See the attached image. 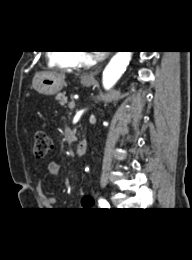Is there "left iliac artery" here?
I'll return each instance as SVG.
<instances>
[{
	"label": "left iliac artery",
	"mask_w": 192,
	"mask_h": 260,
	"mask_svg": "<svg viewBox=\"0 0 192 260\" xmlns=\"http://www.w3.org/2000/svg\"><path fill=\"white\" fill-rule=\"evenodd\" d=\"M99 205L102 209L110 208L109 203L104 198H99Z\"/></svg>",
	"instance_id": "1"
}]
</instances>
